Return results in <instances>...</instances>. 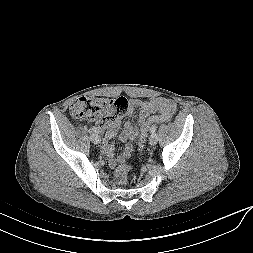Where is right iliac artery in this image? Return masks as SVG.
<instances>
[{
  "instance_id": "82829eb1",
  "label": "right iliac artery",
  "mask_w": 253,
  "mask_h": 253,
  "mask_svg": "<svg viewBox=\"0 0 253 253\" xmlns=\"http://www.w3.org/2000/svg\"><path fill=\"white\" fill-rule=\"evenodd\" d=\"M91 131H92V132H95V133L101 132L100 129L97 128V127H92V128H91Z\"/></svg>"
}]
</instances>
